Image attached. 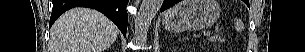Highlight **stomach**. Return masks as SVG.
Masks as SVG:
<instances>
[{
    "instance_id": "1",
    "label": "stomach",
    "mask_w": 305,
    "mask_h": 52,
    "mask_svg": "<svg viewBox=\"0 0 305 52\" xmlns=\"http://www.w3.org/2000/svg\"><path fill=\"white\" fill-rule=\"evenodd\" d=\"M220 16L216 0H183L163 15V26L168 31L181 33L212 26Z\"/></svg>"
}]
</instances>
